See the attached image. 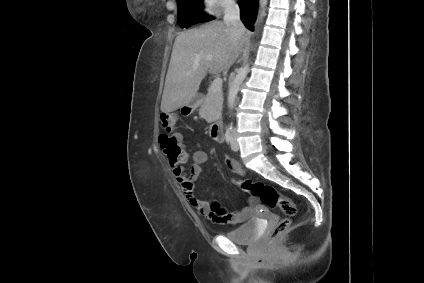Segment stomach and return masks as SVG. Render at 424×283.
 <instances>
[{"label": "stomach", "mask_w": 424, "mask_h": 283, "mask_svg": "<svg viewBox=\"0 0 424 283\" xmlns=\"http://www.w3.org/2000/svg\"><path fill=\"white\" fill-rule=\"evenodd\" d=\"M195 108V101H192L191 103H189V104H186V105H184V106H182L181 108H180V113L182 114V115H184V114H186V109H189V110H193Z\"/></svg>", "instance_id": "0dacf381"}]
</instances>
